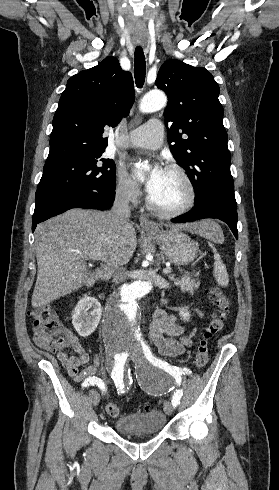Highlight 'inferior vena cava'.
Returning a JSON list of instances; mask_svg holds the SVG:
<instances>
[{"instance_id": "inferior-vena-cava-1", "label": "inferior vena cava", "mask_w": 279, "mask_h": 490, "mask_svg": "<svg viewBox=\"0 0 279 490\" xmlns=\"http://www.w3.org/2000/svg\"><path fill=\"white\" fill-rule=\"evenodd\" d=\"M132 192H129L127 186H124L120 192H117L114 200V204L109 212L112 226H129V218L131 216L129 202L131 200ZM123 264H116L115 274L113 276L114 284H121L124 280H127V272L124 268H120Z\"/></svg>"}]
</instances>
